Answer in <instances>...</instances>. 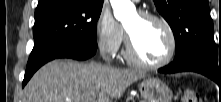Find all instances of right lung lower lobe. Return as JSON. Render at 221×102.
<instances>
[{"label": "right lung lower lobe", "mask_w": 221, "mask_h": 102, "mask_svg": "<svg viewBox=\"0 0 221 102\" xmlns=\"http://www.w3.org/2000/svg\"><path fill=\"white\" fill-rule=\"evenodd\" d=\"M96 53V48L79 43H66L54 47L36 59L27 63V68L22 83V87L26 85L32 75L45 63L57 58H72L76 60H86Z\"/></svg>", "instance_id": "right-lung-lower-lobe-1"}]
</instances>
